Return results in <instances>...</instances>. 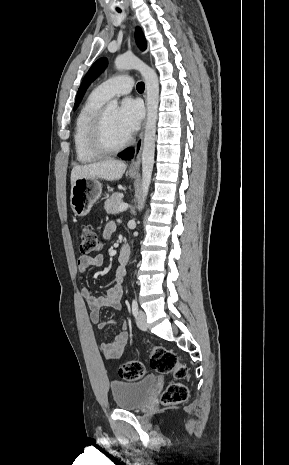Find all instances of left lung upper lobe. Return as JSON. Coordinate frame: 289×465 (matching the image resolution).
<instances>
[{
    "label": "left lung upper lobe",
    "instance_id": "left-lung-upper-lobe-1",
    "mask_svg": "<svg viewBox=\"0 0 289 465\" xmlns=\"http://www.w3.org/2000/svg\"><path fill=\"white\" fill-rule=\"evenodd\" d=\"M135 37H136V42H137L138 46L140 47V49L145 50L146 42H145V38H144L143 33H142L140 28L136 29ZM106 66H107V59L106 58H100L99 60H97L92 65V67L90 68L88 73L85 75V77H84V79L82 81V84H81V86H80V88H79V90L77 92V97H76L74 108H76L78 106V104L80 103V101H81L87 87L91 84V82L94 81V79L97 76L100 75V73L103 72V70L105 69Z\"/></svg>",
    "mask_w": 289,
    "mask_h": 465
}]
</instances>
